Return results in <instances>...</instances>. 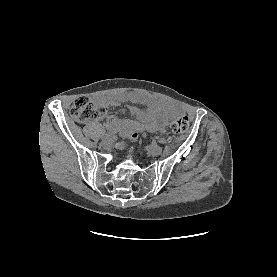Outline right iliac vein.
<instances>
[{"mask_svg":"<svg viewBox=\"0 0 277 277\" xmlns=\"http://www.w3.org/2000/svg\"><path fill=\"white\" fill-rule=\"evenodd\" d=\"M113 144V139L112 138H106V139H103L102 142H101V145L104 147V148H109L111 147Z\"/></svg>","mask_w":277,"mask_h":277,"instance_id":"63e3f726","label":"right iliac vein"}]
</instances>
